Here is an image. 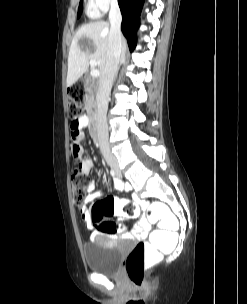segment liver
<instances>
[{
    "label": "liver",
    "mask_w": 247,
    "mask_h": 304,
    "mask_svg": "<svg viewBox=\"0 0 247 304\" xmlns=\"http://www.w3.org/2000/svg\"><path fill=\"white\" fill-rule=\"evenodd\" d=\"M109 32V23L105 21L84 24L76 31L68 56L67 87L88 70L91 59L97 62L101 75L106 64ZM126 48V40L122 38L121 63L125 61Z\"/></svg>",
    "instance_id": "liver-1"
}]
</instances>
